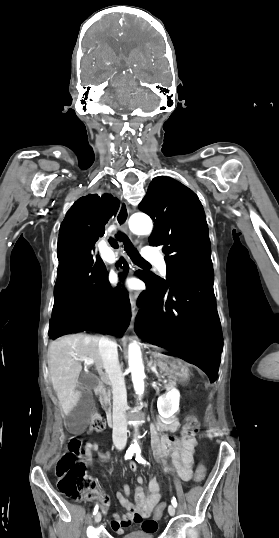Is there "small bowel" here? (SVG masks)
<instances>
[{"label": "small bowel", "mask_w": 279, "mask_h": 538, "mask_svg": "<svg viewBox=\"0 0 279 538\" xmlns=\"http://www.w3.org/2000/svg\"><path fill=\"white\" fill-rule=\"evenodd\" d=\"M178 427L177 422L158 421L152 429L151 445L153 454L157 459L171 453L173 469L165 468L164 472L175 471L178 477L186 482L192 477V454L196 441L194 438L181 440L175 436L174 433L178 430ZM158 430L166 431L167 434L159 436ZM93 452H97L102 461L109 460V454L99 451L97 443L89 442L85 446L84 462L86 464L91 463ZM129 467L132 472L137 469L135 462H131ZM137 481L140 485L135 489V504H132L128 499L130 488L127 484L123 487V493L119 492L117 494V499L125 510L122 516L115 515L111 521L112 530L118 534L126 532L132 524L140 526L147 532L156 531V521L150 519L149 516L161 498V482L154 476L150 479L147 490H144L142 487L144 479L138 477Z\"/></svg>", "instance_id": "small-bowel-1"}]
</instances>
